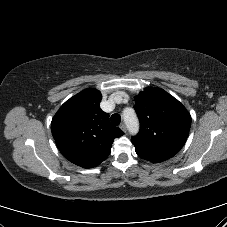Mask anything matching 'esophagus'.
I'll use <instances>...</instances> for the list:
<instances>
[{"label": "esophagus", "instance_id": "obj_1", "mask_svg": "<svg viewBox=\"0 0 227 227\" xmlns=\"http://www.w3.org/2000/svg\"><path fill=\"white\" fill-rule=\"evenodd\" d=\"M119 127L123 132H126L127 129H126V125L124 123H121Z\"/></svg>", "mask_w": 227, "mask_h": 227}]
</instances>
